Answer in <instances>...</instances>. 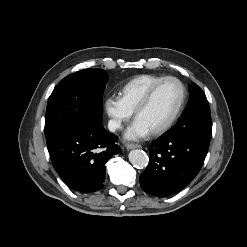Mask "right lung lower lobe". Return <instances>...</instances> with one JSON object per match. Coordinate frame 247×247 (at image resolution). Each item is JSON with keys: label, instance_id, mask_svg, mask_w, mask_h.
<instances>
[{"label": "right lung lower lobe", "instance_id": "1", "mask_svg": "<svg viewBox=\"0 0 247 247\" xmlns=\"http://www.w3.org/2000/svg\"><path fill=\"white\" fill-rule=\"evenodd\" d=\"M118 137L102 123L78 126L46 137L54 169L62 180L80 193L100 190L106 176V162L121 152Z\"/></svg>", "mask_w": 247, "mask_h": 247}]
</instances>
